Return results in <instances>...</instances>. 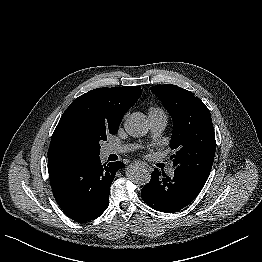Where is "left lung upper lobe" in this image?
I'll use <instances>...</instances> for the list:
<instances>
[{"label":"left lung upper lobe","instance_id":"obj_1","mask_svg":"<svg viewBox=\"0 0 262 262\" xmlns=\"http://www.w3.org/2000/svg\"><path fill=\"white\" fill-rule=\"evenodd\" d=\"M173 119L170 147L175 169L208 177L215 156V133L209 109L194 94L176 85L150 88Z\"/></svg>","mask_w":262,"mask_h":262}]
</instances>
